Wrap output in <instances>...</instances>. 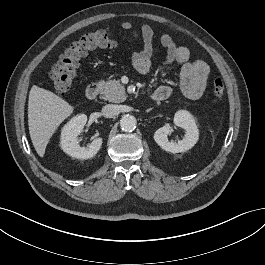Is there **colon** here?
Returning <instances> with one entry per match:
<instances>
[{
  "mask_svg": "<svg viewBox=\"0 0 265 265\" xmlns=\"http://www.w3.org/2000/svg\"><path fill=\"white\" fill-rule=\"evenodd\" d=\"M115 45L112 35L99 30L87 33L73 42L59 57L50 71V79L58 94H67L74 82L80 65V59L90 50L109 48ZM212 94L217 104H221L225 95L224 84L215 80L212 85Z\"/></svg>",
  "mask_w": 265,
  "mask_h": 265,
  "instance_id": "colon-1",
  "label": "colon"
}]
</instances>
